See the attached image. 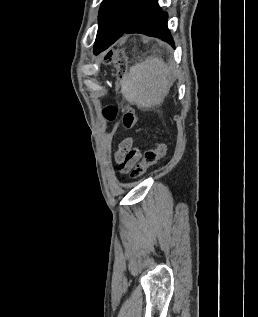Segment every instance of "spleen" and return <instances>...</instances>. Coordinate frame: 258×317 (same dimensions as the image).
<instances>
[{
    "label": "spleen",
    "instance_id": "1",
    "mask_svg": "<svg viewBox=\"0 0 258 317\" xmlns=\"http://www.w3.org/2000/svg\"><path fill=\"white\" fill-rule=\"evenodd\" d=\"M172 82L173 76L163 58L149 56L144 62L131 66L122 80L121 92L131 104L152 108L163 102Z\"/></svg>",
    "mask_w": 258,
    "mask_h": 317
}]
</instances>
